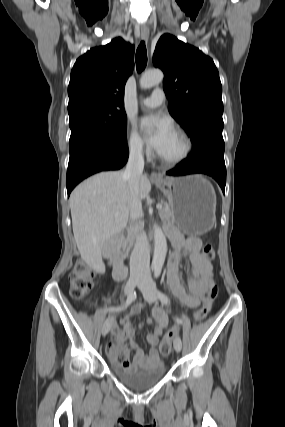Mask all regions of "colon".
Listing matches in <instances>:
<instances>
[{
    "label": "colon",
    "instance_id": "1",
    "mask_svg": "<svg viewBox=\"0 0 285 427\" xmlns=\"http://www.w3.org/2000/svg\"><path fill=\"white\" fill-rule=\"evenodd\" d=\"M203 255L208 260H213L216 257L215 248L206 244L203 248ZM95 272L82 260L76 261L70 276V294L75 299H81L86 296L93 288ZM218 286L213 284L209 290V294L204 304L195 312L194 318L196 321L204 319L212 308L213 302L218 296ZM177 334V329L170 330L160 343V353L163 356L168 355L172 349V341ZM119 363L124 362V351L117 356Z\"/></svg>",
    "mask_w": 285,
    "mask_h": 427
}]
</instances>
